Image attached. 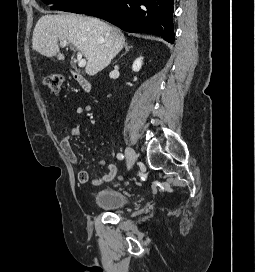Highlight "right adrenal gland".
<instances>
[{
  "instance_id": "right-adrenal-gland-1",
  "label": "right adrenal gland",
  "mask_w": 255,
  "mask_h": 272,
  "mask_svg": "<svg viewBox=\"0 0 255 272\" xmlns=\"http://www.w3.org/2000/svg\"><path fill=\"white\" fill-rule=\"evenodd\" d=\"M124 47L126 52L131 48V46H128V43H125Z\"/></svg>"
}]
</instances>
